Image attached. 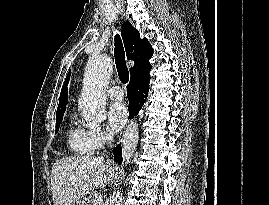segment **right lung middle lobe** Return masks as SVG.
Instances as JSON below:
<instances>
[{
    "label": "right lung middle lobe",
    "instance_id": "right-lung-middle-lobe-1",
    "mask_svg": "<svg viewBox=\"0 0 269 205\" xmlns=\"http://www.w3.org/2000/svg\"><path fill=\"white\" fill-rule=\"evenodd\" d=\"M62 119H63V116L56 117V126H57L56 133H57V131L59 129L60 123L62 122Z\"/></svg>",
    "mask_w": 269,
    "mask_h": 205
}]
</instances>
